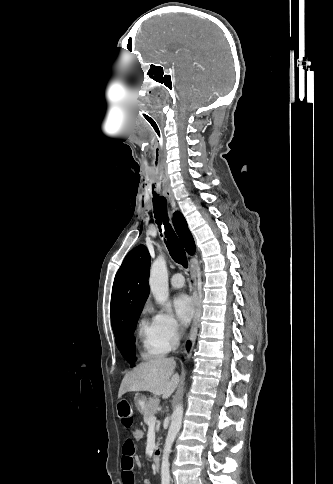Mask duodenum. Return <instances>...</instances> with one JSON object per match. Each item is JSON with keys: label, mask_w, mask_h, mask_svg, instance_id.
<instances>
[{"label": "duodenum", "mask_w": 333, "mask_h": 484, "mask_svg": "<svg viewBox=\"0 0 333 484\" xmlns=\"http://www.w3.org/2000/svg\"><path fill=\"white\" fill-rule=\"evenodd\" d=\"M152 460H153V464H154L155 469L158 470L160 468V462H161V451H160V449H156L154 451Z\"/></svg>", "instance_id": "1"}]
</instances>
